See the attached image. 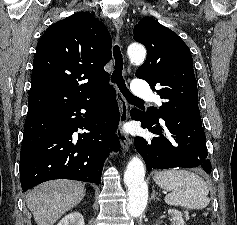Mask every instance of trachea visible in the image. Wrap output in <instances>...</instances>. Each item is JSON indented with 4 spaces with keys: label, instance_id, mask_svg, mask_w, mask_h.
Returning a JSON list of instances; mask_svg holds the SVG:
<instances>
[{
    "label": "trachea",
    "instance_id": "3493384b",
    "mask_svg": "<svg viewBox=\"0 0 237 225\" xmlns=\"http://www.w3.org/2000/svg\"><path fill=\"white\" fill-rule=\"evenodd\" d=\"M113 56L115 59V66H114V71L111 75V82L115 83L118 86L119 90L128 101L144 103L143 100L134 96L126 87L125 81L122 76L123 59H122V54L118 45H115L113 48Z\"/></svg>",
    "mask_w": 237,
    "mask_h": 225
}]
</instances>
